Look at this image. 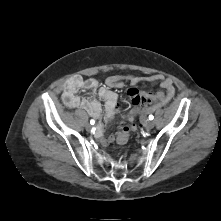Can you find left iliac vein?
<instances>
[{"mask_svg":"<svg viewBox=\"0 0 221 221\" xmlns=\"http://www.w3.org/2000/svg\"><path fill=\"white\" fill-rule=\"evenodd\" d=\"M154 127V122L153 121H148L146 123V129L151 130Z\"/></svg>","mask_w":221,"mask_h":221,"instance_id":"4c4485c4","label":"left iliac vein"}]
</instances>
